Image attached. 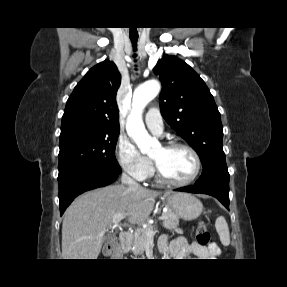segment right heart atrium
<instances>
[{"mask_svg":"<svg viewBox=\"0 0 287 287\" xmlns=\"http://www.w3.org/2000/svg\"><path fill=\"white\" fill-rule=\"evenodd\" d=\"M115 155L119 165L132 178L144 181L148 178L151 161L143 155L134 143L124 135H120L115 146Z\"/></svg>","mask_w":287,"mask_h":287,"instance_id":"right-heart-atrium-1","label":"right heart atrium"}]
</instances>
